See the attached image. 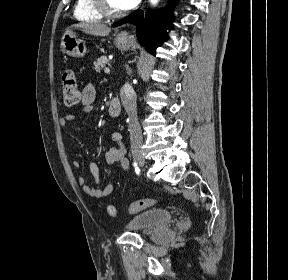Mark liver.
Instances as JSON below:
<instances>
[{"instance_id": "1", "label": "liver", "mask_w": 288, "mask_h": 280, "mask_svg": "<svg viewBox=\"0 0 288 280\" xmlns=\"http://www.w3.org/2000/svg\"><path fill=\"white\" fill-rule=\"evenodd\" d=\"M73 27L79 28L84 33L94 36H107L111 31L110 27L98 23H78Z\"/></svg>"}]
</instances>
